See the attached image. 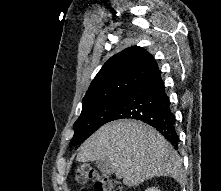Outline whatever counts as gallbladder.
Wrapping results in <instances>:
<instances>
[{
    "label": "gallbladder",
    "mask_w": 221,
    "mask_h": 191,
    "mask_svg": "<svg viewBox=\"0 0 221 191\" xmlns=\"http://www.w3.org/2000/svg\"><path fill=\"white\" fill-rule=\"evenodd\" d=\"M96 167L100 170L101 173L110 175L114 172L111 164L107 161H96Z\"/></svg>",
    "instance_id": "obj_1"
}]
</instances>
